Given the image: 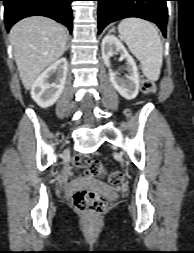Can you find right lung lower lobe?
<instances>
[{
  "mask_svg": "<svg viewBox=\"0 0 194 253\" xmlns=\"http://www.w3.org/2000/svg\"><path fill=\"white\" fill-rule=\"evenodd\" d=\"M1 1V0H0ZM5 5L7 31L19 20L28 16H46L68 27L72 32L71 2L74 0H2Z\"/></svg>",
  "mask_w": 194,
  "mask_h": 253,
  "instance_id": "98d812e1",
  "label": "right lung lower lobe"
}]
</instances>
